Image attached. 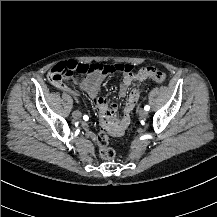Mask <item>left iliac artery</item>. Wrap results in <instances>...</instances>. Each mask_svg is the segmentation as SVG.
Masks as SVG:
<instances>
[{
  "label": "left iliac artery",
  "mask_w": 217,
  "mask_h": 217,
  "mask_svg": "<svg viewBox=\"0 0 217 217\" xmlns=\"http://www.w3.org/2000/svg\"><path fill=\"white\" fill-rule=\"evenodd\" d=\"M144 109H145L146 111H149L150 106L146 105V106L144 107Z\"/></svg>",
  "instance_id": "44dca946"
}]
</instances>
